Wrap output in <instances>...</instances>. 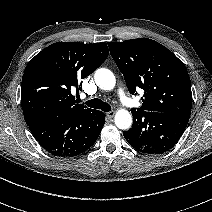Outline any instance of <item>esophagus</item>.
Wrapping results in <instances>:
<instances>
[{
    "label": "esophagus",
    "mask_w": 212,
    "mask_h": 212,
    "mask_svg": "<svg viewBox=\"0 0 212 212\" xmlns=\"http://www.w3.org/2000/svg\"><path fill=\"white\" fill-rule=\"evenodd\" d=\"M114 115H115V112H114V111H110V112H107V113H106V116H107L108 118H113Z\"/></svg>",
    "instance_id": "esophagus-1"
}]
</instances>
